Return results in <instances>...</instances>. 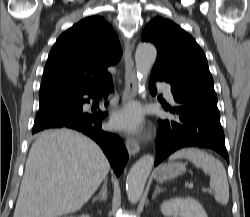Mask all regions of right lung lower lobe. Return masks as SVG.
Returning a JSON list of instances; mask_svg holds the SVG:
<instances>
[{
	"instance_id": "right-lung-lower-lobe-1",
	"label": "right lung lower lobe",
	"mask_w": 250,
	"mask_h": 217,
	"mask_svg": "<svg viewBox=\"0 0 250 217\" xmlns=\"http://www.w3.org/2000/svg\"><path fill=\"white\" fill-rule=\"evenodd\" d=\"M104 90H113L111 80L95 90L68 99L73 102V108L61 110L37 122L33 126L32 133L35 134L49 128H70L80 131L100 145L115 174L120 176L128 160V153L122 140L116 134L101 130V121L105 118L106 113L83 110V104L89 102V99L83 98L84 95L96 99Z\"/></svg>"
}]
</instances>
